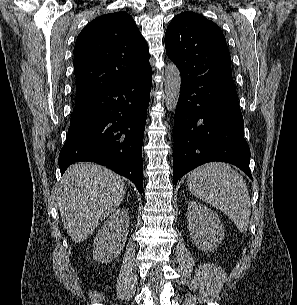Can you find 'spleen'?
I'll use <instances>...</instances> for the list:
<instances>
[{
    "mask_svg": "<svg viewBox=\"0 0 297 305\" xmlns=\"http://www.w3.org/2000/svg\"><path fill=\"white\" fill-rule=\"evenodd\" d=\"M187 185L194 196L219 208L240 232H247L251 201L247 185L237 171L220 162L205 164L189 174Z\"/></svg>",
    "mask_w": 297,
    "mask_h": 305,
    "instance_id": "spleen-1",
    "label": "spleen"
}]
</instances>
